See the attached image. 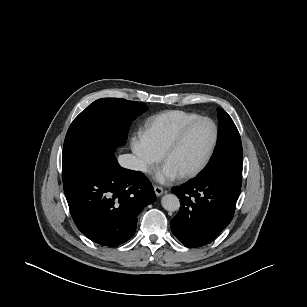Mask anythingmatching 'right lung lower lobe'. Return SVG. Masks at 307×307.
Masks as SVG:
<instances>
[{
  "instance_id": "1",
  "label": "right lung lower lobe",
  "mask_w": 307,
  "mask_h": 307,
  "mask_svg": "<svg viewBox=\"0 0 307 307\" xmlns=\"http://www.w3.org/2000/svg\"><path fill=\"white\" fill-rule=\"evenodd\" d=\"M64 192L78 229L105 246L128 241L139 213L156 199L144 174L120 167L113 153L65 184Z\"/></svg>"
}]
</instances>
